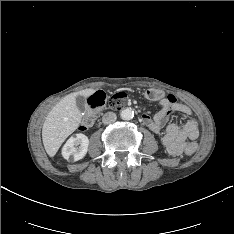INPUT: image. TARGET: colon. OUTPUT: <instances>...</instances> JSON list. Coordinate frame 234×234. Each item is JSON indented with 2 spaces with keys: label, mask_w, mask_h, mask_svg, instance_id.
<instances>
[{
  "label": "colon",
  "mask_w": 234,
  "mask_h": 234,
  "mask_svg": "<svg viewBox=\"0 0 234 234\" xmlns=\"http://www.w3.org/2000/svg\"><path fill=\"white\" fill-rule=\"evenodd\" d=\"M144 97L148 100L160 101L165 97V95L159 90L150 89L144 92ZM126 103L127 94L124 91H118L109 98H107L106 95L102 92H96L92 94L87 100L88 113L81 121L79 129L81 131L90 129L93 126L96 117L104 106H107L109 109L112 110H119L122 109L126 105ZM197 145L198 142H195L185 147L184 152L186 154V157H189L190 154L197 151Z\"/></svg>",
  "instance_id": "1"
}]
</instances>
